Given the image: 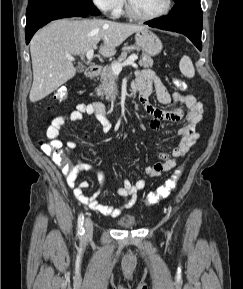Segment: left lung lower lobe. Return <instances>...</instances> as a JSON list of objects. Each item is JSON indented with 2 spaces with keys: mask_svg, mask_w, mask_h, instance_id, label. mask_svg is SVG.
Listing matches in <instances>:
<instances>
[{
  "mask_svg": "<svg viewBox=\"0 0 243 289\" xmlns=\"http://www.w3.org/2000/svg\"><path fill=\"white\" fill-rule=\"evenodd\" d=\"M145 24L159 29L182 33L201 50L202 10L200 0H180L175 3L170 13L161 19H154Z\"/></svg>",
  "mask_w": 243,
  "mask_h": 289,
  "instance_id": "0a47b994",
  "label": "left lung lower lobe"
}]
</instances>
